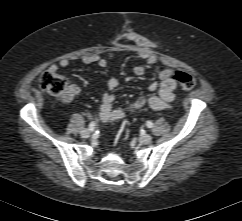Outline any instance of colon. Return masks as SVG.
I'll return each instance as SVG.
<instances>
[{
	"label": "colon",
	"mask_w": 242,
	"mask_h": 221,
	"mask_svg": "<svg viewBox=\"0 0 242 221\" xmlns=\"http://www.w3.org/2000/svg\"><path fill=\"white\" fill-rule=\"evenodd\" d=\"M171 77L177 81L179 86L184 90H191L196 85L195 78L185 72H173ZM39 86L43 91L63 100H68L71 96L68 90L67 80L63 75L57 73L56 71H44L40 75Z\"/></svg>",
	"instance_id": "obj_1"
}]
</instances>
